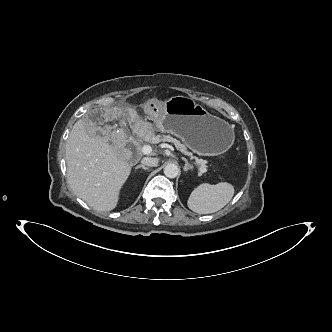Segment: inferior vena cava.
Instances as JSON below:
<instances>
[{
	"label": "inferior vena cava",
	"mask_w": 332,
	"mask_h": 332,
	"mask_svg": "<svg viewBox=\"0 0 332 332\" xmlns=\"http://www.w3.org/2000/svg\"><path fill=\"white\" fill-rule=\"evenodd\" d=\"M141 163L145 166L154 167L158 164V159L157 158H151V157H144L141 160Z\"/></svg>",
	"instance_id": "602c4592"
}]
</instances>
